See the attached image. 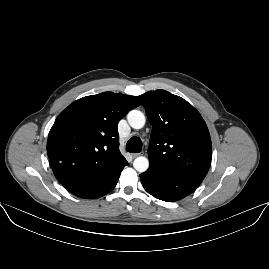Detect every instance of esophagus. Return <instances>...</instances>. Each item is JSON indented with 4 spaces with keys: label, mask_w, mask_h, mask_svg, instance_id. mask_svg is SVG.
<instances>
[{
    "label": "esophagus",
    "mask_w": 269,
    "mask_h": 269,
    "mask_svg": "<svg viewBox=\"0 0 269 269\" xmlns=\"http://www.w3.org/2000/svg\"><path fill=\"white\" fill-rule=\"evenodd\" d=\"M141 153H135V154H131L132 158H136L140 155Z\"/></svg>",
    "instance_id": "obj_1"
}]
</instances>
